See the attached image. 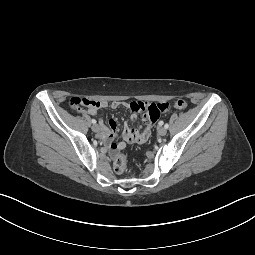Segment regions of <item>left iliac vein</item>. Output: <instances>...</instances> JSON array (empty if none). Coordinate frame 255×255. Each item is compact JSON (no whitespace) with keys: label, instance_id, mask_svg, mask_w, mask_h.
<instances>
[{"label":"left iliac vein","instance_id":"4c4485c4","mask_svg":"<svg viewBox=\"0 0 255 255\" xmlns=\"http://www.w3.org/2000/svg\"><path fill=\"white\" fill-rule=\"evenodd\" d=\"M166 133H167V130H166L165 127H161V128L158 129V134H159L160 136H165Z\"/></svg>","mask_w":255,"mask_h":255}]
</instances>
